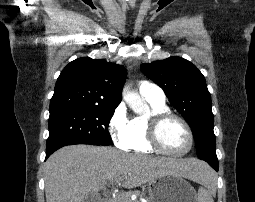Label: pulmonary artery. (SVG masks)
<instances>
[{
	"instance_id": "obj_1",
	"label": "pulmonary artery",
	"mask_w": 255,
	"mask_h": 202,
	"mask_svg": "<svg viewBox=\"0 0 255 202\" xmlns=\"http://www.w3.org/2000/svg\"><path fill=\"white\" fill-rule=\"evenodd\" d=\"M139 92L145 99L157 102H165V94L163 90L154 83L148 81H142L139 84Z\"/></svg>"
}]
</instances>
